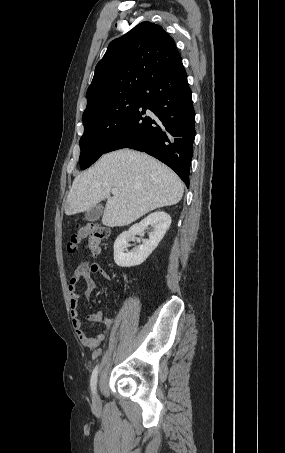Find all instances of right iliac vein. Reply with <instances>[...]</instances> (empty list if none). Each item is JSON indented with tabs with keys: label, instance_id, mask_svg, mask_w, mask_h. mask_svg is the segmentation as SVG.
<instances>
[{
	"label": "right iliac vein",
	"instance_id": "obj_1",
	"mask_svg": "<svg viewBox=\"0 0 285 453\" xmlns=\"http://www.w3.org/2000/svg\"><path fill=\"white\" fill-rule=\"evenodd\" d=\"M93 403H94V406L96 408L100 407L101 402H100V397H99V394H98L97 391H95V394H94V397H93Z\"/></svg>",
	"mask_w": 285,
	"mask_h": 453
}]
</instances>
